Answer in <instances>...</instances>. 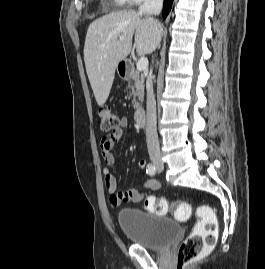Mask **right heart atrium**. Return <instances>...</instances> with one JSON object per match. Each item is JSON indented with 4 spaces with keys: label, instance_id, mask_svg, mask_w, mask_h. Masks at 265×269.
I'll list each match as a JSON object with an SVG mask.
<instances>
[{
    "label": "right heart atrium",
    "instance_id": "d8ad5b80",
    "mask_svg": "<svg viewBox=\"0 0 265 269\" xmlns=\"http://www.w3.org/2000/svg\"><path fill=\"white\" fill-rule=\"evenodd\" d=\"M144 1H147V0H124L126 4L133 5V6L140 5Z\"/></svg>",
    "mask_w": 265,
    "mask_h": 269
}]
</instances>
